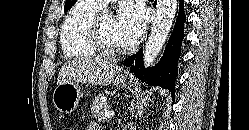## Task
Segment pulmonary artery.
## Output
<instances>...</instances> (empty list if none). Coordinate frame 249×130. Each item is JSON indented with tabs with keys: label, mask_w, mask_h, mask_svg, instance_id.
Listing matches in <instances>:
<instances>
[{
	"label": "pulmonary artery",
	"mask_w": 249,
	"mask_h": 130,
	"mask_svg": "<svg viewBox=\"0 0 249 130\" xmlns=\"http://www.w3.org/2000/svg\"><path fill=\"white\" fill-rule=\"evenodd\" d=\"M91 1L99 5L100 7H103L106 5V3H108L111 0H91Z\"/></svg>",
	"instance_id": "e3ab8cb5"
}]
</instances>
